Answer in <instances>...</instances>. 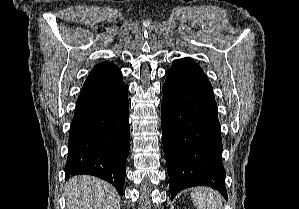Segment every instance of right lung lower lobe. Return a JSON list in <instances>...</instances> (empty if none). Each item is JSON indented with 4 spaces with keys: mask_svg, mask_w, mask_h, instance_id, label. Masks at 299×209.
<instances>
[{
    "mask_svg": "<svg viewBox=\"0 0 299 209\" xmlns=\"http://www.w3.org/2000/svg\"><path fill=\"white\" fill-rule=\"evenodd\" d=\"M128 88L120 71L93 69L77 99L65 175L100 177L123 192L129 153Z\"/></svg>",
    "mask_w": 299,
    "mask_h": 209,
    "instance_id": "right-lung-lower-lobe-1",
    "label": "right lung lower lobe"
}]
</instances>
